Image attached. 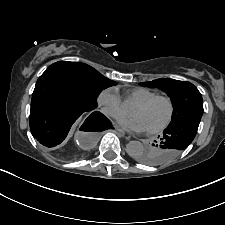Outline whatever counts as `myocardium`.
Here are the masks:
<instances>
[{"label": "myocardium", "instance_id": "myocardium-1", "mask_svg": "<svg viewBox=\"0 0 225 225\" xmlns=\"http://www.w3.org/2000/svg\"><path fill=\"white\" fill-rule=\"evenodd\" d=\"M158 100H164L168 103L169 114H168L167 119L160 126L152 128V129H147V132L150 134L159 133V132L165 130L170 125V123L173 120L174 114H175L174 101L172 100L171 97H169L167 95H155L147 100H144V101H141V102H138L135 104L140 107H147Z\"/></svg>", "mask_w": 225, "mask_h": 225}]
</instances>
